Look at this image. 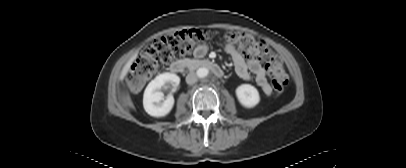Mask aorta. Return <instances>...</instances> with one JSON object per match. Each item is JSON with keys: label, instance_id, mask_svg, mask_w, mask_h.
I'll use <instances>...</instances> for the list:
<instances>
[{"label": "aorta", "instance_id": "762f6f07", "mask_svg": "<svg viewBox=\"0 0 406 168\" xmlns=\"http://www.w3.org/2000/svg\"><path fill=\"white\" fill-rule=\"evenodd\" d=\"M208 73H209V70L205 67H201L196 71V75L199 78H205L208 75Z\"/></svg>", "mask_w": 406, "mask_h": 168}]
</instances>
